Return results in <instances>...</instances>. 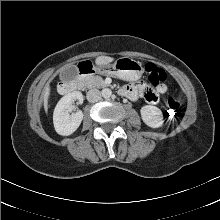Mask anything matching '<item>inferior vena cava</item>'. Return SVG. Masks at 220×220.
Listing matches in <instances>:
<instances>
[{"label": "inferior vena cava", "mask_w": 220, "mask_h": 220, "mask_svg": "<svg viewBox=\"0 0 220 220\" xmlns=\"http://www.w3.org/2000/svg\"><path fill=\"white\" fill-rule=\"evenodd\" d=\"M87 100L95 103L101 99V92L98 89H91L87 92Z\"/></svg>", "instance_id": "obj_1"}]
</instances>
